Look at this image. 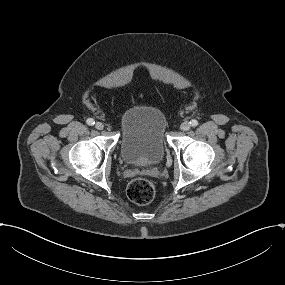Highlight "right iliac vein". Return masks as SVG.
<instances>
[{
  "label": "right iliac vein",
  "mask_w": 285,
  "mask_h": 285,
  "mask_svg": "<svg viewBox=\"0 0 285 285\" xmlns=\"http://www.w3.org/2000/svg\"><path fill=\"white\" fill-rule=\"evenodd\" d=\"M95 128L98 130H102L104 128V124L101 122H96L95 123Z\"/></svg>",
  "instance_id": "63e3f726"
}]
</instances>
